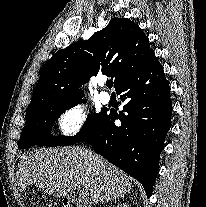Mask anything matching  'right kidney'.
Returning <instances> with one entry per match:
<instances>
[{
  "label": "right kidney",
  "instance_id": "1",
  "mask_svg": "<svg viewBox=\"0 0 206 207\" xmlns=\"http://www.w3.org/2000/svg\"><path fill=\"white\" fill-rule=\"evenodd\" d=\"M117 207H129V205H127L126 203H123V204H118Z\"/></svg>",
  "mask_w": 206,
  "mask_h": 207
}]
</instances>
